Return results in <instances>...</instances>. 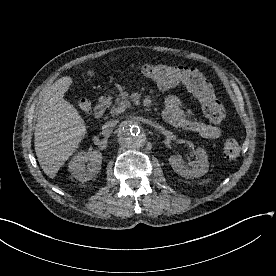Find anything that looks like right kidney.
I'll return each mask as SVG.
<instances>
[{"label": "right kidney", "mask_w": 276, "mask_h": 276, "mask_svg": "<svg viewBox=\"0 0 276 276\" xmlns=\"http://www.w3.org/2000/svg\"><path fill=\"white\" fill-rule=\"evenodd\" d=\"M100 151L79 152L68 164L70 173L80 182L92 180L101 169Z\"/></svg>", "instance_id": "1"}]
</instances>
